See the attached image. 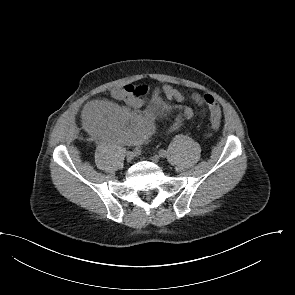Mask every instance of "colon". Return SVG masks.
I'll return each mask as SVG.
<instances>
[{
	"label": "colon",
	"instance_id": "5ec220e1",
	"mask_svg": "<svg viewBox=\"0 0 295 295\" xmlns=\"http://www.w3.org/2000/svg\"><path fill=\"white\" fill-rule=\"evenodd\" d=\"M204 101L207 104L210 111V120L212 123H218L221 121V109L213 96L204 95Z\"/></svg>",
	"mask_w": 295,
	"mask_h": 295
}]
</instances>
